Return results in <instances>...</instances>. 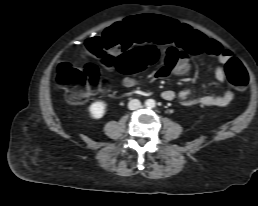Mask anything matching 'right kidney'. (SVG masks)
I'll use <instances>...</instances> for the list:
<instances>
[{"label":"right kidney","mask_w":258,"mask_h":206,"mask_svg":"<svg viewBox=\"0 0 258 206\" xmlns=\"http://www.w3.org/2000/svg\"><path fill=\"white\" fill-rule=\"evenodd\" d=\"M106 111V103L102 101H96L89 107V112L92 118L100 119L104 116Z\"/></svg>","instance_id":"1"}]
</instances>
